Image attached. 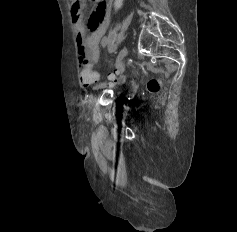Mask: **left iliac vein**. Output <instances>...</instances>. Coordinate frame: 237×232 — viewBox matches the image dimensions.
I'll return each instance as SVG.
<instances>
[{"instance_id": "1", "label": "left iliac vein", "mask_w": 237, "mask_h": 232, "mask_svg": "<svg viewBox=\"0 0 237 232\" xmlns=\"http://www.w3.org/2000/svg\"><path fill=\"white\" fill-rule=\"evenodd\" d=\"M128 54V49L126 47L122 48V50L119 52L116 62L120 63Z\"/></svg>"}]
</instances>
